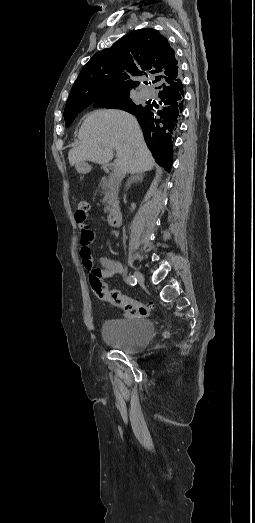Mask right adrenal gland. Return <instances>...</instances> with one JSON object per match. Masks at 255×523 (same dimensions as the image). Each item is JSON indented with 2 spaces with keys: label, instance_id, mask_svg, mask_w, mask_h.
I'll list each match as a JSON object with an SVG mask.
<instances>
[{
  "label": "right adrenal gland",
  "instance_id": "obj_1",
  "mask_svg": "<svg viewBox=\"0 0 255 523\" xmlns=\"http://www.w3.org/2000/svg\"><path fill=\"white\" fill-rule=\"evenodd\" d=\"M143 182V174H135V176H132V178H130V180H128L127 184H126V190H129V188H131V184H133V182Z\"/></svg>",
  "mask_w": 255,
  "mask_h": 523
}]
</instances>
